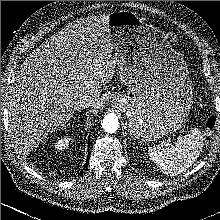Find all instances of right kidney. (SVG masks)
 Returning <instances> with one entry per match:
<instances>
[{"label": "right kidney", "mask_w": 220, "mask_h": 220, "mask_svg": "<svg viewBox=\"0 0 220 220\" xmlns=\"http://www.w3.org/2000/svg\"><path fill=\"white\" fill-rule=\"evenodd\" d=\"M70 140H71V138H69V137H64V138L58 140L55 144V148L59 151L66 149L69 145Z\"/></svg>", "instance_id": "obj_1"}]
</instances>
